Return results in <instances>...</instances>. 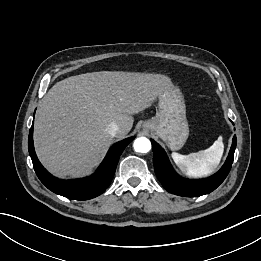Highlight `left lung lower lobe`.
Returning <instances> with one entry per match:
<instances>
[{
  "instance_id": "0a47b994",
  "label": "left lung lower lobe",
  "mask_w": 261,
  "mask_h": 261,
  "mask_svg": "<svg viewBox=\"0 0 261 261\" xmlns=\"http://www.w3.org/2000/svg\"><path fill=\"white\" fill-rule=\"evenodd\" d=\"M151 142L154 170L158 179L168 192L184 197H198L215 190L230 172L236 148V136L234 135L226 162L217 173L206 179L188 180L175 173L164 150L155 141L151 140Z\"/></svg>"
}]
</instances>
